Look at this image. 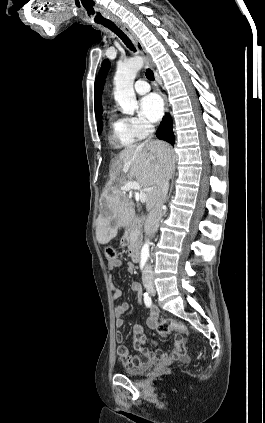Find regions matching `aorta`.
<instances>
[{
    "label": "aorta",
    "instance_id": "obj_1",
    "mask_svg": "<svg viewBox=\"0 0 265 423\" xmlns=\"http://www.w3.org/2000/svg\"><path fill=\"white\" fill-rule=\"evenodd\" d=\"M143 66L141 57H132L117 67L114 77V98L120 105L124 114L133 115L138 108L133 84L138 71ZM150 256V242L147 240L142 246L140 253L141 263H145Z\"/></svg>",
    "mask_w": 265,
    "mask_h": 423
}]
</instances>
